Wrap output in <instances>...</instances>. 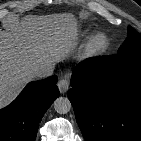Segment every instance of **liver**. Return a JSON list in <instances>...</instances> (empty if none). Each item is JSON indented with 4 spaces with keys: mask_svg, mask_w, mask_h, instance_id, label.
Masks as SVG:
<instances>
[{
    "mask_svg": "<svg viewBox=\"0 0 141 141\" xmlns=\"http://www.w3.org/2000/svg\"><path fill=\"white\" fill-rule=\"evenodd\" d=\"M78 27L70 13L27 15L0 30V109L34 80V70L55 66L77 46Z\"/></svg>",
    "mask_w": 141,
    "mask_h": 141,
    "instance_id": "liver-1",
    "label": "liver"
}]
</instances>
